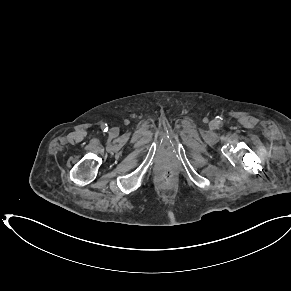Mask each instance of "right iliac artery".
I'll use <instances>...</instances> for the list:
<instances>
[{"label": "right iliac artery", "instance_id": "1", "mask_svg": "<svg viewBox=\"0 0 291 291\" xmlns=\"http://www.w3.org/2000/svg\"><path fill=\"white\" fill-rule=\"evenodd\" d=\"M108 129L107 124H102V130H104V132H106Z\"/></svg>", "mask_w": 291, "mask_h": 291}]
</instances>
